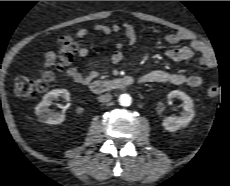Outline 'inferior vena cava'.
Instances as JSON below:
<instances>
[{"instance_id": "1", "label": "inferior vena cava", "mask_w": 230, "mask_h": 186, "mask_svg": "<svg viewBox=\"0 0 230 186\" xmlns=\"http://www.w3.org/2000/svg\"><path fill=\"white\" fill-rule=\"evenodd\" d=\"M111 99H112V95L110 93H105V94L98 97V100L101 103H107V102L111 101Z\"/></svg>"}]
</instances>
